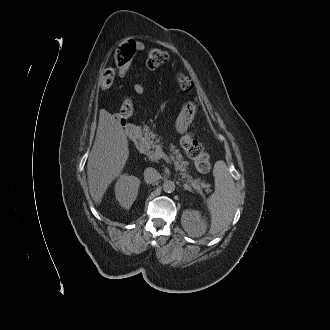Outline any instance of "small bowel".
<instances>
[{
	"mask_svg": "<svg viewBox=\"0 0 330 330\" xmlns=\"http://www.w3.org/2000/svg\"><path fill=\"white\" fill-rule=\"evenodd\" d=\"M133 42L135 44V48H136L137 52H139L143 49V44L142 43L135 42V41H133ZM130 68H131V63L126 65V66H123V67H118L117 76L120 77V78L126 77L129 73V71H130ZM144 90H145V88H144L143 84L136 83L134 85V91H135L136 94L141 95V94L144 93ZM119 116L122 119H124V118L126 119V118L129 117L128 112L123 108L122 105H121L120 110H119Z\"/></svg>",
	"mask_w": 330,
	"mask_h": 330,
	"instance_id": "small-bowel-1",
	"label": "small bowel"
}]
</instances>
